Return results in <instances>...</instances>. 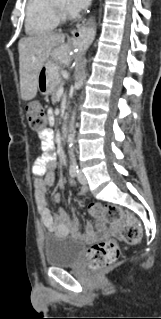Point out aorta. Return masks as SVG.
I'll use <instances>...</instances> for the list:
<instances>
[{
    "mask_svg": "<svg viewBox=\"0 0 161 319\" xmlns=\"http://www.w3.org/2000/svg\"><path fill=\"white\" fill-rule=\"evenodd\" d=\"M85 78H86V74L84 73L82 77L80 78V80L78 81V84H77L78 87H81L83 85ZM75 120H76V112L74 110L69 123V134L67 137L68 146H69V155H70L72 164L76 163V159L74 155Z\"/></svg>",
    "mask_w": 161,
    "mask_h": 319,
    "instance_id": "obj_1",
    "label": "aorta"
}]
</instances>
